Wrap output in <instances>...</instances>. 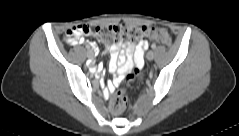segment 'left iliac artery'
<instances>
[{
    "label": "left iliac artery",
    "instance_id": "left-iliac-artery-1",
    "mask_svg": "<svg viewBox=\"0 0 239 136\" xmlns=\"http://www.w3.org/2000/svg\"><path fill=\"white\" fill-rule=\"evenodd\" d=\"M151 48H152V49H153V48H156V45H155V44L151 45Z\"/></svg>",
    "mask_w": 239,
    "mask_h": 136
}]
</instances>
